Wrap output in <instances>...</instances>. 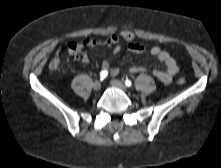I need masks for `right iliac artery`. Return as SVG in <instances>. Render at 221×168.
<instances>
[{
  "label": "right iliac artery",
  "mask_w": 221,
  "mask_h": 168,
  "mask_svg": "<svg viewBox=\"0 0 221 168\" xmlns=\"http://www.w3.org/2000/svg\"><path fill=\"white\" fill-rule=\"evenodd\" d=\"M107 75H108V72H107V71H101V72H100V78H101V80L105 79V78L107 77Z\"/></svg>",
  "instance_id": "82829eb1"
}]
</instances>
